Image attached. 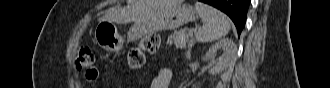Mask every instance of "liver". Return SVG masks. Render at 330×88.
I'll return each mask as SVG.
<instances>
[{
	"mask_svg": "<svg viewBox=\"0 0 330 88\" xmlns=\"http://www.w3.org/2000/svg\"><path fill=\"white\" fill-rule=\"evenodd\" d=\"M160 3L161 0H136L120 10L105 14L103 20L122 23L140 21L146 19Z\"/></svg>",
	"mask_w": 330,
	"mask_h": 88,
	"instance_id": "1",
	"label": "liver"
}]
</instances>
